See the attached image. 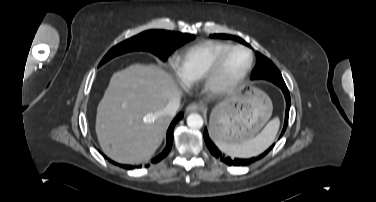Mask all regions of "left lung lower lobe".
<instances>
[{
  "label": "left lung lower lobe",
  "instance_id": "left-lung-lower-lobe-1",
  "mask_svg": "<svg viewBox=\"0 0 376 202\" xmlns=\"http://www.w3.org/2000/svg\"><path fill=\"white\" fill-rule=\"evenodd\" d=\"M278 86L282 89L284 96H285V99H286V114H285L284 127H283V130H282L281 135H280V137H281L283 135V133L285 132L287 125H288V116H289V109H290V94H289V91H288L286 84H281V85H278ZM204 140H205V143L207 145V148L209 149V151L211 152V154L213 156H215L216 158H219L221 161H223L224 163H226L228 165H236V166H247V165H250V164H252L256 161H259L264 156H266L269 153V151L272 149V147L274 146V144H273L264 153L260 154L257 157H252V158H249V159H231L230 157L224 156L218 150V148L211 141L206 128L204 130Z\"/></svg>",
  "mask_w": 376,
  "mask_h": 202
}]
</instances>
